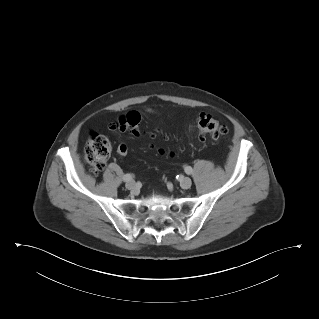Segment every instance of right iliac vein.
<instances>
[{"label":"right iliac vein","instance_id":"right-iliac-vein-1","mask_svg":"<svg viewBox=\"0 0 319 319\" xmlns=\"http://www.w3.org/2000/svg\"><path fill=\"white\" fill-rule=\"evenodd\" d=\"M126 188L131 191H135L137 189V185L134 181L130 180L126 183Z\"/></svg>","mask_w":319,"mask_h":319}]
</instances>
